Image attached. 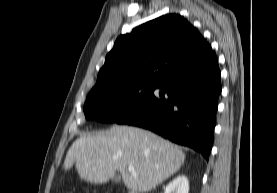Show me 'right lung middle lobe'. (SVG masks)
Instances as JSON below:
<instances>
[{"instance_id": "dd1d6c3e", "label": "right lung middle lobe", "mask_w": 277, "mask_h": 193, "mask_svg": "<svg viewBox=\"0 0 277 193\" xmlns=\"http://www.w3.org/2000/svg\"><path fill=\"white\" fill-rule=\"evenodd\" d=\"M154 86L135 85L101 92H92L84 104L87 120L119 122L124 116L146 103Z\"/></svg>"}]
</instances>
